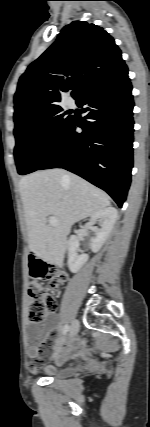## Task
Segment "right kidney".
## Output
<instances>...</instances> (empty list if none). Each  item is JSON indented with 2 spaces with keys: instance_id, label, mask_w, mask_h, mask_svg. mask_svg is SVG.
<instances>
[{
  "instance_id": "ca27d5eb",
  "label": "right kidney",
  "mask_w": 150,
  "mask_h": 427,
  "mask_svg": "<svg viewBox=\"0 0 150 427\" xmlns=\"http://www.w3.org/2000/svg\"><path fill=\"white\" fill-rule=\"evenodd\" d=\"M117 210L113 207L105 208L90 217L89 225L98 223L100 228H94L95 236L92 238L90 248L96 253L107 240L117 219ZM77 236H71L68 241V267L72 273H77L88 261L87 254L81 253Z\"/></svg>"
}]
</instances>
